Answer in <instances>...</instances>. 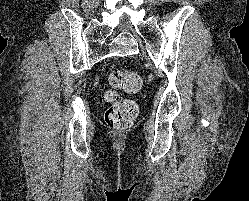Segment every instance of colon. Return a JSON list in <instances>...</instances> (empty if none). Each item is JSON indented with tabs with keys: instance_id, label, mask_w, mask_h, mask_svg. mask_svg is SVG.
<instances>
[{
	"instance_id": "1",
	"label": "colon",
	"mask_w": 249,
	"mask_h": 201,
	"mask_svg": "<svg viewBox=\"0 0 249 201\" xmlns=\"http://www.w3.org/2000/svg\"><path fill=\"white\" fill-rule=\"evenodd\" d=\"M111 90L105 94L110 104L105 113L107 127L117 131L129 129L138 115V106L131 100L119 96L118 91L135 92L141 87V77L134 71L115 70L109 75Z\"/></svg>"
}]
</instances>
